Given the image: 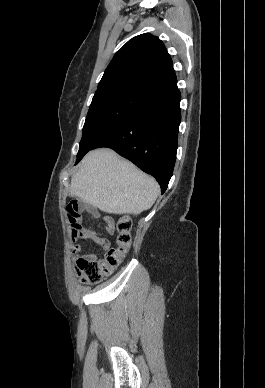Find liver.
<instances>
[{
  "label": "liver",
  "mask_w": 265,
  "mask_h": 388,
  "mask_svg": "<svg viewBox=\"0 0 265 388\" xmlns=\"http://www.w3.org/2000/svg\"><path fill=\"white\" fill-rule=\"evenodd\" d=\"M70 192L107 214L138 216L152 208L160 186L134 164L121 160L113 150L99 148L83 158L77 174L71 178Z\"/></svg>",
  "instance_id": "obj_1"
}]
</instances>
